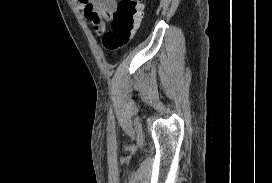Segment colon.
<instances>
[{
	"label": "colon",
	"mask_w": 272,
	"mask_h": 183,
	"mask_svg": "<svg viewBox=\"0 0 272 183\" xmlns=\"http://www.w3.org/2000/svg\"><path fill=\"white\" fill-rule=\"evenodd\" d=\"M145 5L140 0H120L111 29L105 35V48L116 51L125 47L140 27Z\"/></svg>",
	"instance_id": "colon-1"
}]
</instances>
